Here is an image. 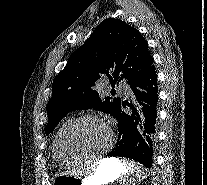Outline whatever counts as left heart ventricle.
<instances>
[{
	"label": "left heart ventricle",
	"instance_id": "1",
	"mask_svg": "<svg viewBox=\"0 0 207 185\" xmlns=\"http://www.w3.org/2000/svg\"><path fill=\"white\" fill-rule=\"evenodd\" d=\"M110 141L109 127L99 120H87L80 123L72 135L73 146L86 152L105 150Z\"/></svg>",
	"mask_w": 207,
	"mask_h": 185
}]
</instances>
